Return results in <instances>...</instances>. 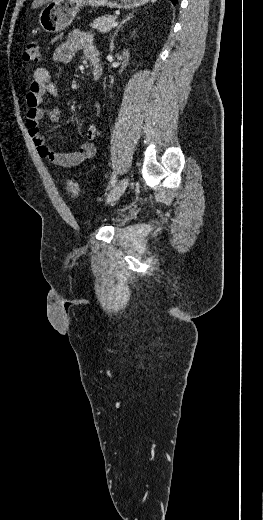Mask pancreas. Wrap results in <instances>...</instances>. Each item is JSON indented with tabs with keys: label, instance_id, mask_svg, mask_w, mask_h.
<instances>
[{
	"label": "pancreas",
	"instance_id": "pancreas-1",
	"mask_svg": "<svg viewBox=\"0 0 263 520\" xmlns=\"http://www.w3.org/2000/svg\"><path fill=\"white\" fill-rule=\"evenodd\" d=\"M116 20V16L113 15H103L95 19L90 27L96 29L99 32L106 33L111 30L112 22Z\"/></svg>",
	"mask_w": 263,
	"mask_h": 520
}]
</instances>
